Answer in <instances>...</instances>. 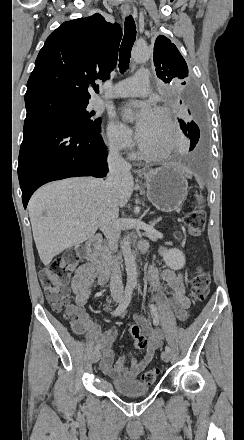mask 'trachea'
I'll return each mask as SVG.
<instances>
[{"label":"trachea","instance_id":"3493384b","mask_svg":"<svg viewBox=\"0 0 244 440\" xmlns=\"http://www.w3.org/2000/svg\"><path fill=\"white\" fill-rule=\"evenodd\" d=\"M125 29H124V38L122 40L121 46H120V53H119V69L121 72H125L128 68L130 56H131V49L133 47V44L136 39V26L135 22L133 20V17L129 15L125 18Z\"/></svg>","mask_w":244,"mask_h":440}]
</instances>
